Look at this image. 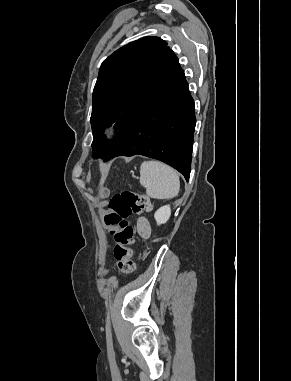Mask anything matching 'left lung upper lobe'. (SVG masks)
I'll list each match as a JSON object with an SVG mask.
<instances>
[{
	"mask_svg": "<svg viewBox=\"0 0 291 381\" xmlns=\"http://www.w3.org/2000/svg\"><path fill=\"white\" fill-rule=\"evenodd\" d=\"M180 70L178 58L159 37L131 42L103 61L93 90L90 118L95 158H106L149 100ZM114 122L120 127L119 134L108 141L103 130Z\"/></svg>",
	"mask_w": 291,
	"mask_h": 381,
	"instance_id": "left-lung-upper-lobe-1",
	"label": "left lung upper lobe"
}]
</instances>
